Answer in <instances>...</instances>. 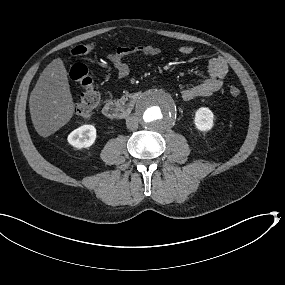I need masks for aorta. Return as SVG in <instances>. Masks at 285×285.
Segmentation results:
<instances>
[{
  "mask_svg": "<svg viewBox=\"0 0 285 285\" xmlns=\"http://www.w3.org/2000/svg\"><path fill=\"white\" fill-rule=\"evenodd\" d=\"M138 118L141 124L151 131H164L170 128L177 118V105L174 99L164 92H151L145 95L138 105Z\"/></svg>",
  "mask_w": 285,
  "mask_h": 285,
  "instance_id": "762f6f07",
  "label": "aorta"
}]
</instances>
